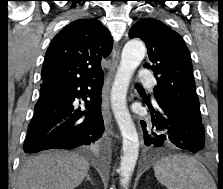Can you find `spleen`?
Instances as JSON below:
<instances>
[{
	"label": "spleen",
	"mask_w": 223,
	"mask_h": 189,
	"mask_svg": "<svg viewBox=\"0 0 223 189\" xmlns=\"http://www.w3.org/2000/svg\"><path fill=\"white\" fill-rule=\"evenodd\" d=\"M155 177L167 189H216L208 170L197 159L172 155L154 166Z\"/></svg>",
	"instance_id": "spleen-1"
}]
</instances>
